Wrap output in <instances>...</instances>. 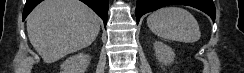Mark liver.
Listing matches in <instances>:
<instances>
[{
	"label": "liver",
	"instance_id": "1",
	"mask_svg": "<svg viewBox=\"0 0 244 73\" xmlns=\"http://www.w3.org/2000/svg\"><path fill=\"white\" fill-rule=\"evenodd\" d=\"M99 31V17L79 0H45L27 17L29 40L46 63L91 45Z\"/></svg>",
	"mask_w": 244,
	"mask_h": 73
}]
</instances>
